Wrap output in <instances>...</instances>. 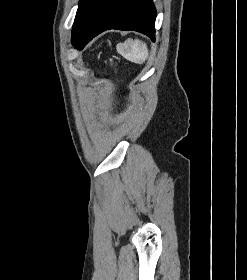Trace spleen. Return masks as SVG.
Segmentation results:
<instances>
[{"mask_svg": "<svg viewBox=\"0 0 247 280\" xmlns=\"http://www.w3.org/2000/svg\"><path fill=\"white\" fill-rule=\"evenodd\" d=\"M117 52L125 59L137 64H143L149 55L146 43L139 39H127L124 43L118 44Z\"/></svg>", "mask_w": 247, "mask_h": 280, "instance_id": "obj_1", "label": "spleen"}]
</instances>
